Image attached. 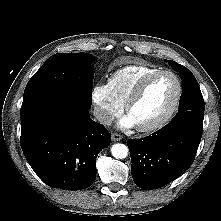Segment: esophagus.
Wrapping results in <instances>:
<instances>
[{"label":"esophagus","mask_w":221,"mask_h":221,"mask_svg":"<svg viewBox=\"0 0 221 221\" xmlns=\"http://www.w3.org/2000/svg\"><path fill=\"white\" fill-rule=\"evenodd\" d=\"M122 138L123 137L120 134H117V133L112 134V140L113 141H120V140H122Z\"/></svg>","instance_id":"obj_1"}]
</instances>
